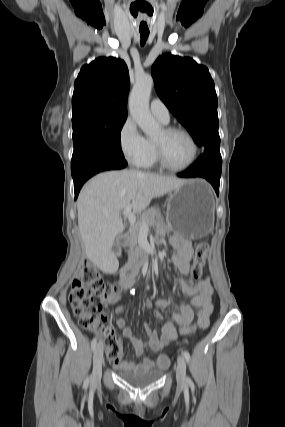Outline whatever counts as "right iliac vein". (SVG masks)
<instances>
[{
    "mask_svg": "<svg viewBox=\"0 0 285 427\" xmlns=\"http://www.w3.org/2000/svg\"><path fill=\"white\" fill-rule=\"evenodd\" d=\"M102 361H103V345L102 343L97 344L93 355V372H92V384L98 382L102 374Z\"/></svg>",
    "mask_w": 285,
    "mask_h": 427,
    "instance_id": "1",
    "label": "right iliac vein"
}]
</instances>
